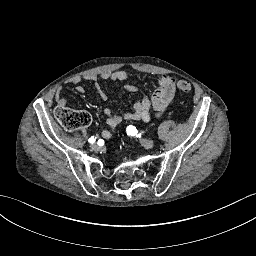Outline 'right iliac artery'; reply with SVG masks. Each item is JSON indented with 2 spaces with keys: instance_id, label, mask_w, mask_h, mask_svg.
<instances>
[{
  "instance_id": "82829eb1",
  "label": "right iliac artery",
  "mask_w": 256,
  "mask_h": 256,
  "mask_svg": "<svg viewBox=\"0 0 256 256\" xmlns=\"http://www.w3.org/2000/svg\"><path fill=\"white\" fill-rule=\"evenodd\" d=\"M90 143H94L95 142V138L94 137H91V138H89V140H88Z\"/></svg>"
}]
</instances>
